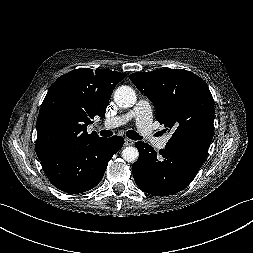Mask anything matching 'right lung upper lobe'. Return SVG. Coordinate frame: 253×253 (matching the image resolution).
Listing matches in <instances>:
<instances>
[{"instance_id":"1","label":"right lung upper lobe","mask_w":253,"mask_h":253,"mask_svg":"<svg viewBox=\"0 0 253 253\" xmlns=\"http://www.w3.org/2000/svg\"><path fill=\"white\" fill-rule=\"evenodd\" d=\"M126 75L108 69H76L60 76L50 87L37 118L36 154L68 146H81L96 139L87 125L105 111L116 84Z\"/></svg>"}]
</instances>
